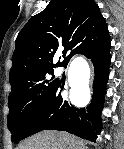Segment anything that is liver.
Listing matches in <instances>:
<instances>
[{"instance_id":"1","label":"liver","mask_w":124,"mask_h":149,"mask_svg":"<svg viewBox=\"0 0 124 149\" xmlns=\"http://www.w3.org/2000/svg\"><path fill=\"white\" fill-rule=\"evenodd\" d=\"M82 141L68 133L44 131L27 139L19 149H86Z\"/></svg>"}]
</instances>
